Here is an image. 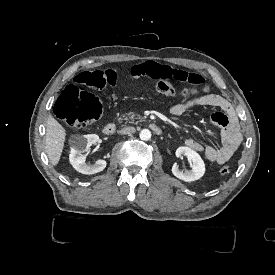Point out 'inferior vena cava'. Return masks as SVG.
Masks as SVG:
<instances>
[{"label": "inferior vena cava", "instance_id": "602c4592", "mask_svg": "<svg viewBox=\"0 0 275 275\" xmlns=\"http://www.w3.org/2000/svg\"><path fill=\"white\" fill-rule=\"evenodd\" d=\"M135 132H136L135 127H131V126L124 127L119 131L120 134H133Z\"/></svg>", "mask_w": 275, "mask_h": 275}]
</instances>
